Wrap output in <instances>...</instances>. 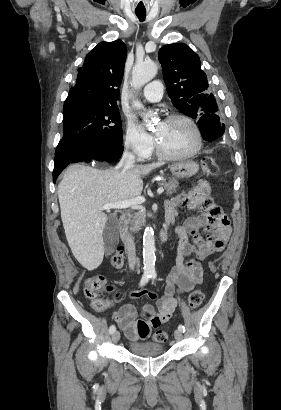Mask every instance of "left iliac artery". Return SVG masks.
I'll list each match as a JSON object with an SVG mask.
<instances>
[{
	"instance_id": "1",
	"label": "left iliac artery",
	"mask_w": 281,
	"mask_h": 410,
	"mask_svg": "<svg viewBox=\"0 0 281 410\" xmlns=\"http://www.w3.org/2000/svg\"><path fill=\"white\" fill-rule=\"evenodd\" d=\"M151 278H152V279H155V278H156V273H155V272L151 274ZM178 330H180L181 332H185V327H184L182 324H180V325L178 326Z\"/></svg>"
}]
</instances>
